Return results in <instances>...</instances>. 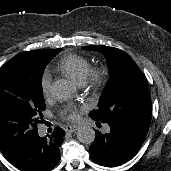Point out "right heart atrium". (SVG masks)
Segmentation results:
<instances>
[{"mask_svg":"<svg viewBox=\"0 0 171 171\" xmlns=\"http://www.w3.org/2000/svg\"><path fill=\"white\" fill-rule=\"evenodd\" d=\"M41 91L45 98L50 96L51 91V75L49 72H44L41 77Z\"/></svg>","mask_w":171,"mask_h":171,"instance_id":"obj_1","label":"right heart atrium"}]
</instances>
